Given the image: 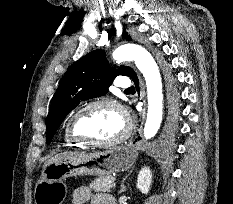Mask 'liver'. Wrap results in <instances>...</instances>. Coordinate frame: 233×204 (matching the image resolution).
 <instances>
[{
	"instance_id": "1",
	"label": "liver",
	"mask_w": 233,
	"mask_h": 204,
	"mask_svg": "<svg viewBox=\"0 0 233 204\" xmlns=\"http://www.w3.org/2000/svg\"><path fill=\"white\" fill-rule=\"evenodd\" d=\"M77 154H80L78 152H64V153H60L54 157H52L51 159H49L45 164H44V167L47 166L48 164L54 162V161H57V160H60L62 158H66V157H69V156H73V155H77Z\"/></svg>"
}]
</instances>
